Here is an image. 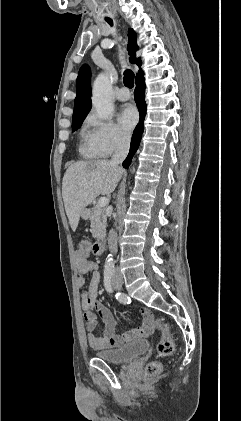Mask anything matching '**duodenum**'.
<instances>
[{"instance_id": "1", "label": "duodenum", "mask_w": 241, "mask_h": 421, "mask_svg": "<svg viewBox=\"0 0 241 421\" xmlns=\"http://www.w3.org/2000/svg\"><path fill=\"white\" fill-rule=\"evenodd\" d=\"M92 247H94L96 249V254L95 255H102L105 251V242L103 237L98 236L95 238V240L92 243Z\"/></svg>"}]
</instances>
